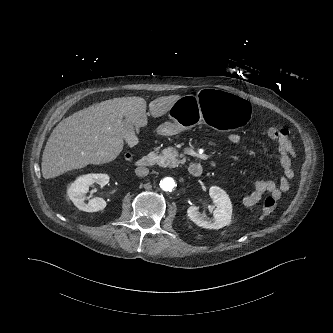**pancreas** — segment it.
Returning <instances> with one entry per match:
<instances>
[{
	"label": "pancreas",
	"instance_id": "cf45deb5",
	"mask_svg": "<svg viewBox=\"0 0 333 333\" xmlns=\"http://www.w3.org/2000/svg\"><path fill=\"white\" fill-rule=\"evenodd\" d=\"M155 154L158 157V164L163 167H176L184 161L177 158L179 157V154L173 147L163 149L160 154L159 148H156Z\"/></svg>",
	"mask_w": 333,
	"mask_h": 333
}]
</instances>
